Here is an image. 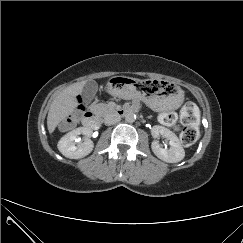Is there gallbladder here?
Listing matches in <instances>:
<instances>
[{"instance_id": "1", "label": "gallbladder", "mask_w": 243, "mask_h": 243, "mask_svg": "<svg viewBox=\"0 0 243 243\" xmlns=\"http://www.w3.org/2000/svg\"><path fill=\"white\" fill-rule=\"evenodd\" d=\"M98 85L94 80L88 81L82 90V97L85 103H90L95 97Z\"/></svg>"}]
</instances>
